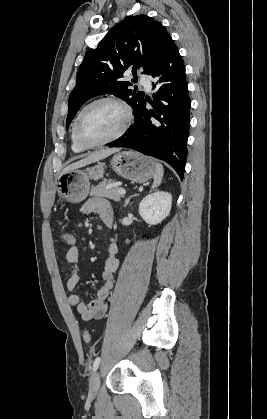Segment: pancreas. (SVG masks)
Here are the masks:
<instances>
[{
  "label": "pancreas",
  "mask_w": 267,
  "mask_h": 419,
  "mask_svg": "<svg viewBox=\"0 0 267 419\" xmlns=\"http://www.w3.org/2000/svg\"><path fill=\"white\" fill-rule=\"evenodd\" d=\"M91 196L105 197L116 202L120 201L122 195L118 194L117 183L113 180H104L98 185L92 187Z\"/></svg>",
  "instance_id": "obj_1"
}]
</instances>
